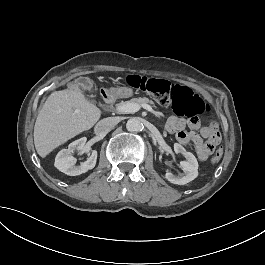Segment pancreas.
<instances>
[{
  "label": "pancreas",
  "instance_id": "pancreas-1",
  "mask_svg": "<svg viewBox=\"0 0 265 265\" xmlns=\"http://www.w3.org/2000/svg\"><path fill=\"white\" fill-rule=\"evenodd\" d=\"M127 102H124V103H120L118 104L117 106H120L122 104H126ZM129 103H134V104H138L140 106L144 105V104H150L152 105L153 107H156L154 102L152 100H149L148 98L146 97H143V98H132Z\"/></svg>",
  "mask_w": 265,
  "mask_h": 265
}]
</instances>
